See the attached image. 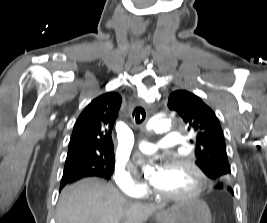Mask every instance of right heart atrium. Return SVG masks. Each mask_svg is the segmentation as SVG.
Here are the masks:
<instances>
[{"label": "right heart atrium", "mask_w": 267, "mask_h": 223, "mask_svg": "<svg viewBox=\"0 0 267 223\" xmlns=\"http://www.w3.org/2000/svg\"><path fill=\"white\" fill-rule=\"evenodd\" d=\"M113 180L121 192L129 197L138 198L146 192V186L134 177L131 167L124 162H116Z\"/></svg>", "instance_id": "right-heart-atrium-1"}]
</instances>
